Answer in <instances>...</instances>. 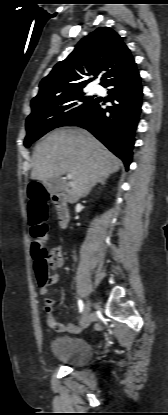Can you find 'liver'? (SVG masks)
<instances>
[{
    "instance_id": "liver-1",
    "label": "liver",
    "mask_w": 168,
    "mask_h": 415,
    "mask_svg": "<svg viewBox=\"0 0 168 415\" xmlns=\"http://www.w3.org/2000/svg\"><path fill=\"white\" fill-rule=\"evenodd\" d=\"M121 161L93 135L79 127H62L51 131L36 146L31 179L46 181L66 173L72 175L74 186L67 200L74 204L100 178L117 172Z\"/></svg>"
}]
</instances>
